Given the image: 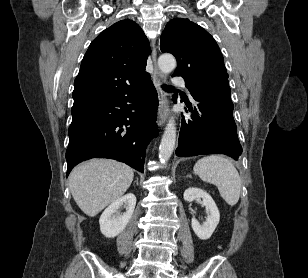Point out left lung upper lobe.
<instances>
[{
  "label": "left lung upper lobe",
  "mask_w": 308,
  "mask_h": 278,
  "mask_svg": "<svg viewBox=\"0 0 308 278\" xmlns=\"http://www.w3.org/2000/svg\"><path fill=\"white\" fill-rule=\"evenodd\" d=\"M160 49L175 56L178 66L173 76L183 77L189 91L228 79L223 55L214 38L189 19L168 22L161 35Z\"/></svg>",
  "instance_id": "left-lung-upper-lobe-1"
}]
</instances>
